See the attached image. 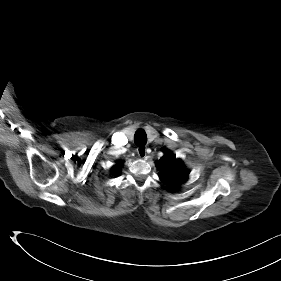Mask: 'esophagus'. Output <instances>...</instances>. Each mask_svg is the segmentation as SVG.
I'll use <instances>...</instances> for the list:
<instances>
[{
  "label": "esophagus",
  "mask_w": 281,
  "mask_h": 281,
  "mask_svg": "<svg viewBox=\"0 0 281 281\" xmlns=\"http://www.w3.org/2000/svg\"><path fill=\"white\" fill-rule=\"evenodd\" d=\"M137 153L140 158H145L147 154V148L145 146H139L137 148Z\"/></svg>",
  "instance_id": "34e87169"
}]
</instances>
